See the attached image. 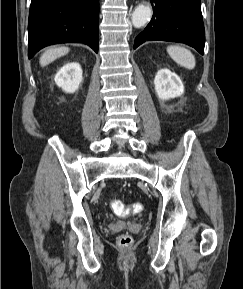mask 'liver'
Here are the masks:
<instances>
[{
	"label": "liver",
	"instance_id": "obj_1",
	"mask_svg": "<svg viewBox=\"0 0 243 289\" xmlns=\"http://www.w3.org/2000/svg\"><path fill=\"white\" fill-rule=\"evenodd\" d=\"M69 50L70 49L65 46L52 47V48L47 49L40 57V60H39L40 65L44 67L50 64L57 58L66 55L69 52Z\"/></svg>",
	"mask_w": 243,
	"mask_h": 289
}]
</instances>
